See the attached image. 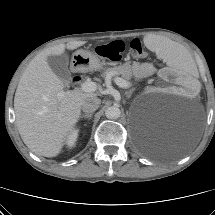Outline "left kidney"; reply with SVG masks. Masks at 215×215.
Instances as JSON below:
<instances>
[{
  "label": "left kidney",
  "instance_id": "left-kidney-1",
  "mask_svg": "<svg viewBox=\"0 0 215 215\" xmlns=\"http://www.w3.org/2000/svg\"><path fill=\"white\" fill-rule=\"evenodd\" d=\"M160 78L163 80L160 83V88L167 94L194 97L199 92V86L195 79L187 73L164 69L160 73Z\"/></svg>",
  "mask_w": 215,
  "mask_h": 215
}]
</instances>
